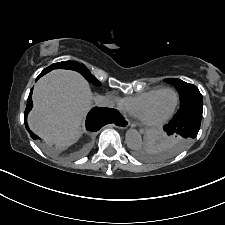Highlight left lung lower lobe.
I'll list each match as a JSON object with an SVG mask.
<instances>
[{
  "label": "left lung lower lobe",
  "instance_id": "1",
  "mask_svg": "<svg viewBox=\"0 0 225 225\" xmlns=\"http://www.w3.org/2000/svg\"><path fill=\"white\" fill-rule=\"evenodd\" d=\"M202 119V108H192L180 114H176L173 120L166 126L164 131L169 135H178L185 139L193 140L199 131ZM185 144L177 145L182 150Z\"/></svg>",
  "mask_w": 225,
  "mask_h": 225
}]
</instances>
